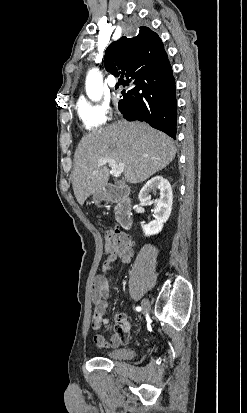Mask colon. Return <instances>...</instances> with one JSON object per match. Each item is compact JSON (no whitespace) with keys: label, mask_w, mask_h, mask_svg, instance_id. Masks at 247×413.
Masks as SVG:
<instances>
[{"label":"colon","mask_w":247,"mask_h":413,"mask_svg":"<svg viewBox=\"0 0 247 413\" xmlns=\"http://www.w3.org/2000/svg\"><path fill=\"white\" fill-rule=\"evenodd\" d=\"M126 241V234L119 228H116L115 230L108 232L106 236L107 251L115 252L116 248H125Z\"/></svg>","instance_id":"1"}]
</instances>
